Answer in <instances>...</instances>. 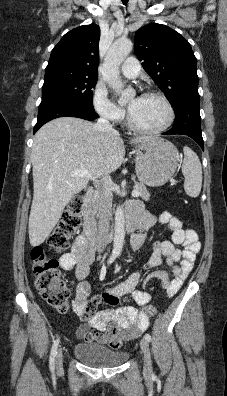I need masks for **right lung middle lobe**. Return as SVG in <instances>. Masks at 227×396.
Returning a JSON list of instances; mask_svg holds the SVG:
<instances>
[{
  "instance_id": "1",
  "label": "right lung middle lobe",
  "mask_w": 227,
  "mask_h": 396,
  "mask_svg": "<svg viewBox=\"0 0 227 396\" xmlns=\"http://www.w3.org/2000/svg\"><path fill=\"white\" fill-rule=\"evenodd\" d=\"M98 76L70 71L45 72L42 87V102L54 99L74 101L86 108L94 109L92 103V88Z\"/></svg>"
}]
</instances>
